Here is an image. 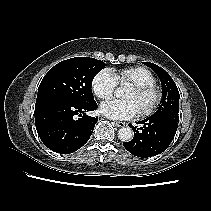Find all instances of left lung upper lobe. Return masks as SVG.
Listing matches in <instances>:
<instances>
[{
    "instance_id": "1",
    "label": "left lung upper lobe",
    "mask_w": 211,
    "mask_h": 211,
    "mask_svg": "<svg viewBox=\"0 0 211 211\" xmlns=\"http://www.w3.org/2000/svg\"><path fill=\"white\" fill-rule=\"evenodd\" d=\"M143 63L144 65L150 67L158 75L161 80L163 89L162 104L152 116L163 117L178 123V108L180 95L176 84L174 83L171 76L161 67L149 62Z\"/></svg>"
}]
</instances>
